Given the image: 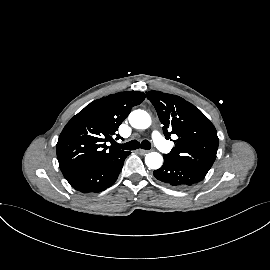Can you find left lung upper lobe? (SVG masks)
Here are the masks:
<instances>
[{
  "label": "left lung upper lobe",
  "instance_id": "1",
  "mask_svg": "<svg viewBox=\"0 0 270 270\" xmlns=\"http://www.w3.org/2000/svg\"><path fill=\"white\" fill-rule=\"evenodd\" d=\"M154 105L166 139L176 134L175 147L164 156L207 174L218 149L217 131L209 119L183 98L160 91L147 92Z\"/></svg>",
  "mask_w": 270,
  "mask_h": 270
}]
</instances>
